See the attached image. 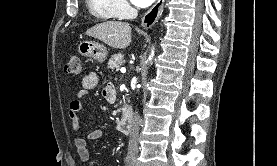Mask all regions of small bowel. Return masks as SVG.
<instances>
[{
	"instance_id": "small-bowel-1",
	"label": "small bowel",
	"mask_w": 277,
	"mask_h": 166,
	"mask_svg": "<svg viewBox=\"0 0 277 166\" xmlns=\"http://www.w3.org/2000/svg\"><path fill=\"white\" fill-rule=\"evenodd\" d=\"M99 76L95 72L86 74L82 79V89L77 93L76 98L69 104L68 116L71 121V126L74 131L80 129V117L79 113L83 109V98L88 95L98 84ZM115 88L112 85L106 86L102 95L108 102L115 100ZM103 135V130L98 128L89 132L86 137H76L74 139V147L80 160L84 163L89 161L90 155L87 148L88 140H97Z\"/></svg>"
}]
</instances>
